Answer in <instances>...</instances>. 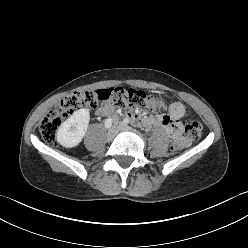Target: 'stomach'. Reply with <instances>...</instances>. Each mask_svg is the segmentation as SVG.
I'll return each mask as SVG.
<instances>
[{"mask_svg": "<svg viewBox=\"0 0 248 248\" xmlns=\"http://www.w3.org/2000/svg\"><path fill=\"white\" fill-rule=\"evenodd\" d=\"M144 107L153 114H162L167 109V100L159 93H149L144 98Z\"/></svg>", "mask_w": 248, "mask_h": 248, "instance_id": "obj_1", "label": "stomach"}]
</instances>
